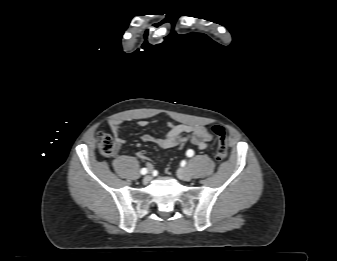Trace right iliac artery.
<instances>
[{
	"label": "right iliac artery",
	"mask_w": 337,
	"mask_h": 261,
	"mask_svg": "<svg viewBox=\"0 0 337 261\" xmlns=\"http://www.w3.org/2000/svg\"><path fill=\"white\" fill-rule=\"evenodd\" d=\"M140 172H141L142 175H145L147 173V169L146 168H142Z\"/></svg>",
	"instance_id": "obj_1"
}]
</instances>
